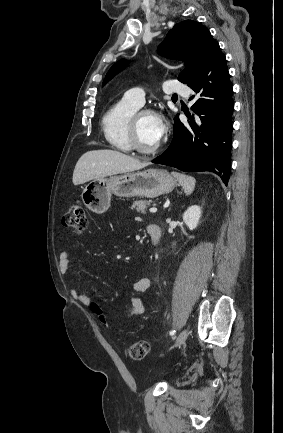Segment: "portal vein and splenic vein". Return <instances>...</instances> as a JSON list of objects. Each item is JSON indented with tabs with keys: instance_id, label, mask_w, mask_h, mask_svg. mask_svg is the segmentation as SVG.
<instances>
[{
	"instance_id": "obj_1",
	"label": "portal vein and splenic vein",
	"mask_w": 283,
	"mask_h": 433,
	"mask_svg": "<svg viewBox=\"0 0 283 433\" xmlns=\"http://www.w3.org/2000/svg\"><path fill=\"white\" fill-rule=\"evenodd\" d=\"M150 212H157V208L155 206H152V208H149Z\"/></svg>"
}]
</instances>
